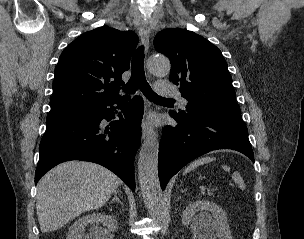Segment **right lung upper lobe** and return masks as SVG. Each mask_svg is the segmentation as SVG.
<instances>
[{
  "instance_id": "cb5924a9",
  "label": "right lung upper lobe",
  "mask_w": 304,
  "mask_h": 239,
  "mask_svg": "<svg viewBox=\"0 0 304 239\" xmlns=\"http://www.w3.org/2000/svg\"><path fill=\"white\" fill-rule=\"evenodd\" d=\"M138 43L132 31L107 26L80 35L60 55L55 68L51 110L46 121L82 114L119 96L123 72Z\"/></svg>"
}]
</instances>
